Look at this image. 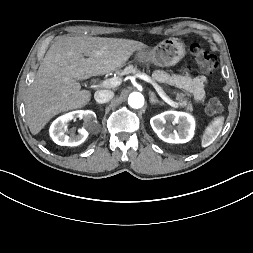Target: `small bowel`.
<instances>
[{"instance_id": "1", "label": "small bowel", "mask_w": 253, "mask_h": 253, "mask_svg": "<svg viewBox=\"0 0 253 253\" xmlns=\"http://www.w3.org/2000/svg\"><path fill=\"white\" fill-rule=\"evenodd\" d=\"M154 77L159 81L171 83L184 90L196 101H201L205 96L206 78L203 76L192 77L187 73L169 76L162 71H156Z\"/></svg>"}]
</instances>
